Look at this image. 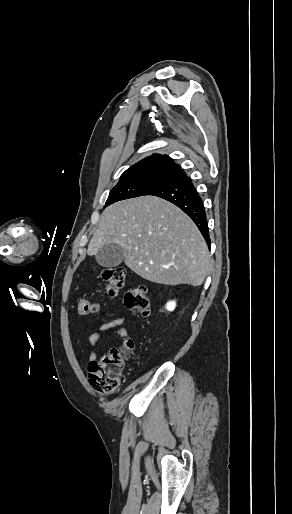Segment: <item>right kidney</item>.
I'll return each instance as SVG.
<instances>
[{"instance_id":"right-kidney-1","label":"right kidney","mask_w":292,"mask_h":514,"mask_svg":"<svg viewBox=\"0 0 292 514\" xmlns=\"http://www.w3.org/2000/svg\"><path fill=\"white\" fill-rule=\"evenodd\" d=\"M176 302H168L166 304V310H169V312H172V310H175Z\"/></svg>"}]
</instances>
